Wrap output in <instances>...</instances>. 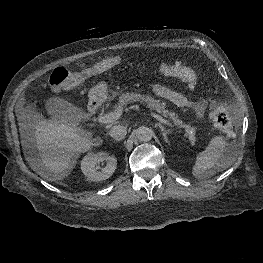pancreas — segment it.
Listing matches in <instances>:
<instances>
[{
  "instance_id": "pancreas-1",
  "label": "pancreas",
  "mask_w": 263,
  "mask_h": 263,
  "mask_svg": "<svg viewBox=\"0 0 263 263\" xmlns=\"http://www.w3.org/2000/svg\"><path fill=\"white\" fill-rule=\"evenodd\" d=\"M116 95H119V99H118V104L115 106V108L120 109L128 105L129 103H133V102L145 103L147 107L162 114L165 118L172 120L175 125L185 128L187 136L189 137V140L192 143L195 142L196 128L191 127L189 125L182 124V121L176 117L175 113L170 112L165 109V104L161 103L160 100H156L148 95L143 96L139 93L121 92V93H116Z\"/></svg>"
}]
</instances>
